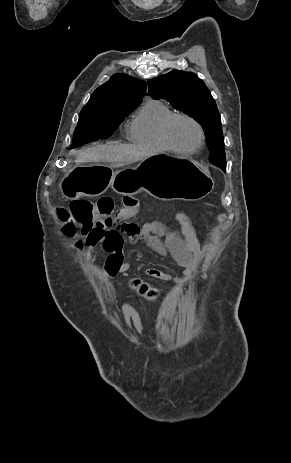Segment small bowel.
<instances>
[{"label":"small bowel","mask_w":291,"mask_h":463,"mask_svg":"<svg viewBox=\"0 0 291 463\" xmlns=\"http://www.w3.org/2000/svg\"><path fill=\"white\" fill-rule=\"evenodd\" d=\"M137 213L138 208L133 207L114 229H94L84 233L76 243V248L86 253L90 249L100 247L107 252L109 255L105 262L103 276L113 278L131 268V262L126 256L124 235L128 237L130 243L143 240L157 255L163 258L172 257L183 268L180 276L149 268L145 270L149 277L176 286L190 282L194 288L197 287L199 281L193 278V274L201 270L203 256L188 216L181 212L172 215L179 227V232H176L168 230L157 221L140 224L136 221ZM130 321L133 328L139 331L140 323L134 317H131Z\"/></svg>","instance_id":"small-bowel-1"}]
</instances>
